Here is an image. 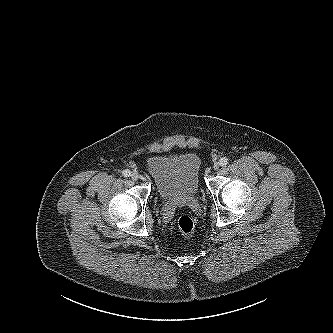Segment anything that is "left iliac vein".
Returning a JSON list of instances; mask_svg holds the SVG:
<instances>
[{
	"mask_svg": "<svg viewBox=\"0 0 333 333\" xmlns=\"http://www.w3.org/2000/svg\"><path fill=\"white\" fill-rule=\"evenodd\" d=\"M220 166H221V165H220V162H216V163L214 164V166H213V169H214V170H218Z\"/></svg>",
	"mask_w": 333,
	"mask_h": 333,
	"instance_id": "4c4485c4",
	"label": "left iliac vein"
}]
</instances>
